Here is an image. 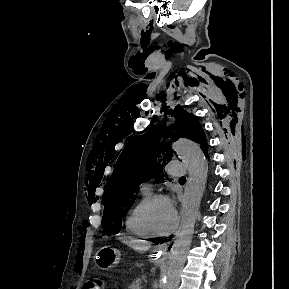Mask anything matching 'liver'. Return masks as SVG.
I'll list each match as a JSON object with an SVG mask.
<instances>
[{
    "instance_id": "liver-1",
    "label": "liver",
    "mask_w": 289,
    "mask_h": 289,
    "mask_svg": "<svg viewBox=\"0 0 289 289\" xmlns=\"http://www.w3.org/2000/svg\"><path fill=\"white\" fill-rule=\"evenodd\" d=\"M124 243L138 251H146L149 249L148 244L139 240H135V239L125 240Z\"/></svg>"
}]
</instances>
